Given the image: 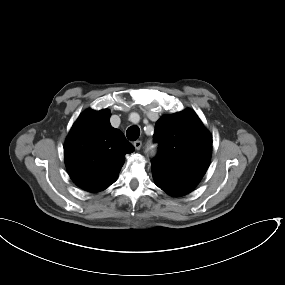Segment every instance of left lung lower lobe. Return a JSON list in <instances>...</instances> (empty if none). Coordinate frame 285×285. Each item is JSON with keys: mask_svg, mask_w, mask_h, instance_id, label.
<instances>
[{"mask_svg": "<svg viewBox=\"0 0 285 285\" xmlns=\"http://www.w3.org/2000/svg\"><path fill=\"white\" fill-rule=\"evenodd\" d=\"M152 174L156 185L171 196L186 195L196 187L195 184L172 179L155 170H152Z\"/></svg>", "mask_w": 285, "mask_h": 285, "instance_id": "left-lung-lower-lobe-1", "label": "left lung lower lobe"}]
</instances>
